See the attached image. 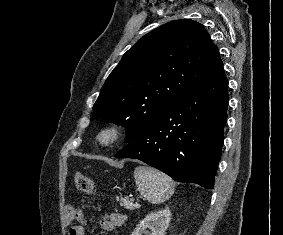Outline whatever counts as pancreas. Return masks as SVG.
Returning a JSON list of instances; mask_svg holds the SVG:
<instances>
[{"label":"pancreas","mask_w":283,"mask_h":235,"mask_svg":"<svg viewBox=\"0 0 283 235\" xmlns=\"http://www.w3.org/2000/svg\"><path fill=\"white\" fill-rule=\"evenodd\" d=\"M116 200L119 201L120 205L124 206V208L126 209L134 210L136 208H139V204H133L127 198L116 197Z\"/></svg>","instance_id":"cf45deb5"}]
</instances>
